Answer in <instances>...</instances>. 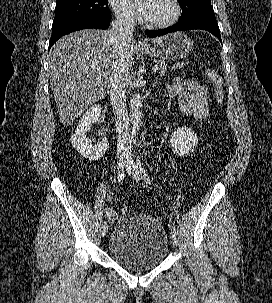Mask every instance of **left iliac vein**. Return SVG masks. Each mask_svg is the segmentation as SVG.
I'll return each mask as SVG.
<instances>
[{
  "mask_svg": "<svg viewBox=\"0 0 272 303\" xmlns=\"http://www.w3.org/2000/svg\"><path fill=\"white\" fill-rule=\"evenodd\" d=\"M126 172L127 174L135 181H139L141 179V173L138 166L132 159H128L126 164ZM172 243L177 246L178 245V237L174 233L171 234Z\"/></svg>",
  "mask_w": 272,
  "mask_h": 303,
  "instance_id": "4c4485c4",
  "label": "left iliac vein"
}]
</instances>
